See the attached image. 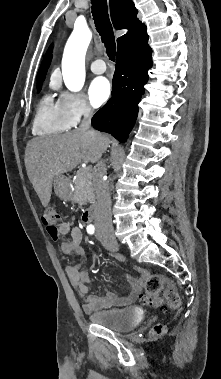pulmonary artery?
<instances>
[{
	"instance_id": "1",
	"label": "pulmonary artery",
	"mask_w": 221,
	"mask_h": 379,
	"mask_svg": "<svg viewBox=\"0 0 221 379\" xmlns=\"http://www.w3.org/2000/svg\"><path fill=\"white\" fill-rule=\"evenodd\" d=\"M90 69L95 74H102L106 71L105 62L101 59L95 60L91 63Z\"/></svg>"
}]
</instances>
